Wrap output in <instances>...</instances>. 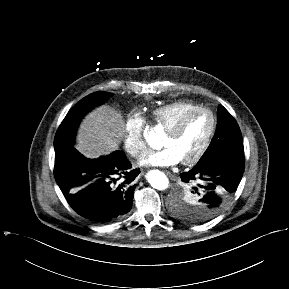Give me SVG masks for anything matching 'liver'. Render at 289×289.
<instances>
[{"label":"liver","mask_w":289,"mask_h":289,"mask_svg":"<svg viewBox=\"0 0 289 289\" xmlns=\"http://www.w3.org/2000/svg\"><path fill=\"white\" fill-rule=\"evenodd\" d=\"M125 131L120 112L102 105L83 120L76 137V149L85 157L97 159L118 149Z\"/></svg>","instance_id":"1"}]
</instances>
